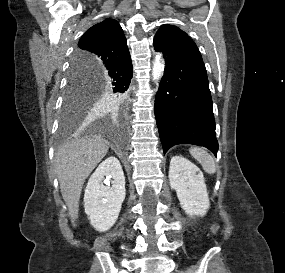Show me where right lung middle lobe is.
Wrapping results in <instances>:
<instances>
[{
	"instance_id": "1",
	"label": "right lung middle lobe",
	"mask_w": 285,
	"mask_h": 273,
	"mask_svg": "<svg viewBox=\"0 0 285 273\" xmlns=\"http://www.w3.org/2000/svg\"><path fill=\"white\" fill-rule=\"evenodd\" d=\"M74 59V58H73ZM97 78L90 74H78L71 66L61 115V128L69 130L76 125L97 102H119L121 96L108 89L99 91Z\"/></svg>"
}]
</instances>
